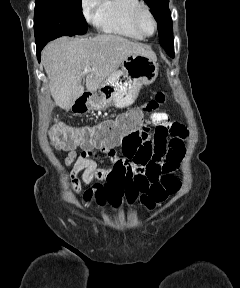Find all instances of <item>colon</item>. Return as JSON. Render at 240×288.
I'll return each mask as SVG.
<instances>
[{
	"label": "colon",
	"instance_id": "5ec220e1",
	"mask_svg": "<svg viewBox=\"0 0 240 288\" xmlns=\"http://www.w3.org/2000/svg\"><path fill=\"white\" fill-rule=\"evenodd\" d=\"M166 100L160 91L154 98L141 107L132 108L115 119L107 120L96 126L71 128L65 124L53 126L49 131L52 144L60 149H73L78 146H93L106 142H117L123 138L137 135L148 115L154 113ZM181 181L173 175L162 176L159 183L153 184L140 200L148 209L164 202L178 192Z\"/></svg>",
	"mask_w": 240,
	"mask_h": 288
}]
</instances>
